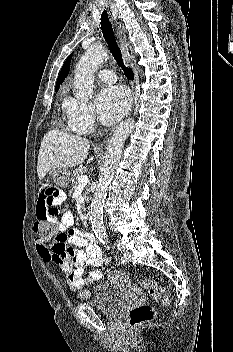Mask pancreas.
Masks as SVG:
<instances>
[{
  "mask_svg": "<svg viewBox=\"0 0 233 352\" xmlns=\"http://www.w3.org/2000/svg\"><path fill=\"white\" fill-rule=\"evenodd\" d=\"M70 175H71L70 180L72 182V186H73V188H76L79 184V182L77 180V178L79 176L78 169H75L72 173H70ZM88 192H89V189L86 187L85 188V195H84L85 201H88V199H89V197L87 196Z\"/></svg>",
  "mask_w": 233,
  "mask_h": 352,
  "instance_id": "cf45deb5",
  "label": "pancreas"
}]
</instances>
